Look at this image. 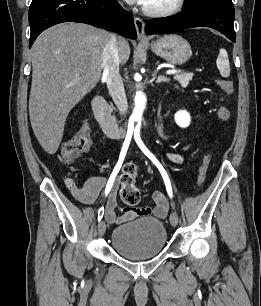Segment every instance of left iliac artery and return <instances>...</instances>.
I'll return each instance as SVG.
<instances>
[{
	"instance_id": "left-iliac-artery-1",
	"label": "left iliac artery",
	"mask_w": 261,
	"mask_h": 306,
	"mask_svg": "<svg viewBox=\"0 0 261 306\" xmlns=\"http://www.w3.org/2000/svg\"><path fill=\"white\" fill-rule=\"evenodd\" d=\"M134 137H135V141H136L137 145L140 147V149L143 151V153L158 167V169L161 172V175L164 179L167 192H168L169 196L172 198L171 183H170V180H169V177H168L166 171L164 170L162 165L159 163V161L154 157V155L145 147V145L143 144L139 134H135Z\"/></svg>"
}]
</instances>
